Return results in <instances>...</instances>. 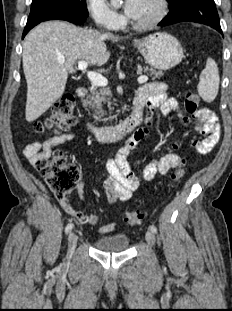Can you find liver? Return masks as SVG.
I'll return each instance as SVG.
<instances>
[{
  "mask_svg": "<svg viewBox=\"0 0 232 311\" xmlns=\"http://www.w3.org/2000/svg\"><path fill=\"white\" fill-rule=\"evenodd\" d=\"M119 39L63 21H48L32 29L24 39L22 53L27 82L26 120L38 119L62 96L68 73L76 71L77 61L105 64L110 53L104 41ZM61 58L63 64L59 63Z\"/></svg>",
  "mask_w": 232,
  "mask_h": 311,
  "instance_id": "liver-1",
  "label": "liver"
}]
</instances>
